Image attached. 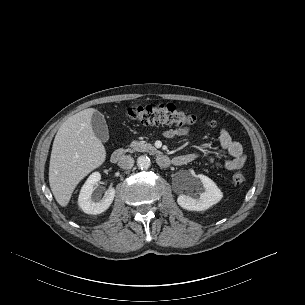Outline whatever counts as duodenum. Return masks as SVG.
<instances>
[{
	"instance_id": "duodenum-1",
	"label": "duodenum",
	"mask_w": 305,
	"mask_h": 305,
	"mask_svg": "<svg viewBox=\"0 0 305 305\" xmlns=\"http://www.w3.org/2000/svg\"><path fill=\"white\" fill-rule=\"evenodd\" d=\"M154 153L156 155L157 164L160 167L167 168L171 164L174 163V160L170 159L168 156L161 154L157 151H154ZM125 154H126V151L124 149H117L111 154V161L113 163H118L120 160H122V158L124 157Z\"/></svg>"
}]
</instances>
